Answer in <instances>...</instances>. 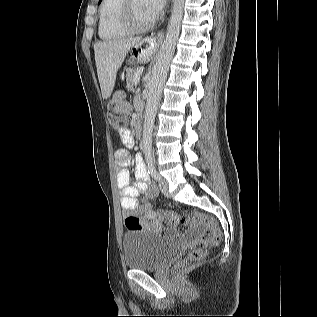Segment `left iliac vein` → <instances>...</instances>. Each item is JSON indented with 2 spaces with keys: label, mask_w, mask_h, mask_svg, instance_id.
Listing matches in <instances>:
<instances>
[{
  "label": "left iliac vein",
  "mask_w": 317,
  "mask_h": 317,
  "mask_svg": "<svg viewBox=\"0 0 317 317\" xmlns=\"http://www.w3.org/2000/svg\"><path fill=\"white\" fill-rule=\"evenodd\" d=\"M159 188L161 190V192L169 197L170 196V193H169V190H168V182L165 180V179H161L160 182H159Z\"/></svg>",
  "instance_id": "4c4485c4"
}]
</instances>
